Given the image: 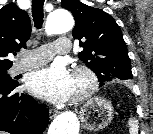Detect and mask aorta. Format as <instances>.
I'll return each instance as SVG.
<instances>
[{
  "instance_id": "aorta-1",
  "label": "aorta",
  "mask_w": 153,
  "mask_h": 134,
  "mask_svg": "<svg viewBox=\"0 0 153 134\" xmlns=\"http://www.w3.org/2000/svg\"><path fill=\"white\" fill-rule=\"evenodd\" d=\"M71 14L63 9L55 10L47 17L45 31L48 35L60 34L73 28ZM48 134H79V123L73 112L66 111L58 115L51 123Z\"/></svg>"
}]
</instances>
